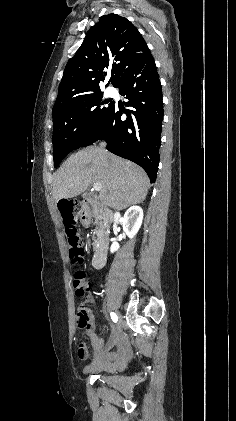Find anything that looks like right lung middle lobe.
I'll use <instances>...</instances> for the list:
<instances>
[{"mask_svg": "<svg viewBox=\"0 0 236 421\" xmlns=\"http://www.w3.org/2000/svg\"><path fill=\"white\" fill-rule=\"evenodd\" d=\"M103 94L73 99L53 110V159L58 167L63 158L78 149L103 124L114 102L102 101ZM109 103L108 107L102 104Z\"/></svg>", "mask_w": 236, "mask_h": 421, "instance_id": "right-lung-middle-lobe-1", "label": "right lung middle lobe"}]
</instances>
